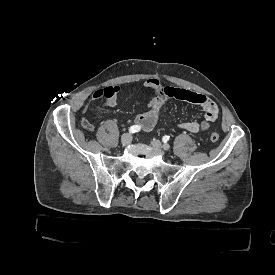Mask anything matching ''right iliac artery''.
I'll return each instance as SVG.
<instances>
[{
    "label": "right iliac artery",
    "mask_w": 275,
    "mask_h": 275,
    "mask_svg": "<svg viewBox=\"0 0 275 275\" xmlns=\"http://www.w3.org/2000/svg\"><path fill=\"white\" fill-rule=\"evenodd\" d=\"M141 129V127L139 125H133L130 127L129 131L130 133H136V132H139Z\"/></svg>",
    "instance_id": "obj_1"
}]
</instances>
